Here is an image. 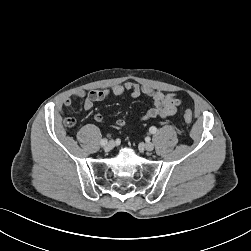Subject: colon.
<instances>
[{
  "label": "colon",
  "mask_w": 251,
  "mask_h": 251,
  "mask_svg": "<svg viewBox=\"0 0 251 251\" xmlns=\"http://www.w3.org/2000/svg\"><path fill=\"white\" fill-rule=\"evenodd\" d=\"M183 117H184V120L187 124H191L192 121H193V115H192V112L187 109L184 111V114H183ZM64 124L68 127H71L75 124V119L73 117H68L64 120Z\"/></svg>",
  "instance_id": "colon-1"
}]
</instances>
